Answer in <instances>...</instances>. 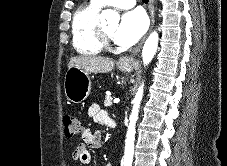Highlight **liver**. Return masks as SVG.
I'll return each instance as SVG.
<instances>
[{
    "mask_svg": "<svg viewBox=\"0 0 227 166\" xmlns=\"http://www.w3.org/2000/svg\"><path fill=\"white\" fill-rule=\"evenodd\" d=\"M114 66L115 63L110 58L81 55L70 58L68 69L71 67H77L88 73H107L112 71Z\"/></svg>",
    "mask_w": 227,
    "mask_h": 166,
    "instance_id": "6515ba94",
    "label": "liver"
}]
</instances>
